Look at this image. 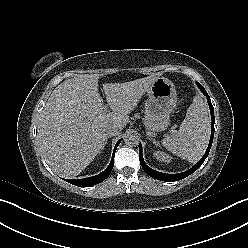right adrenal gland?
Here are the masks:
<instances>
[{"instance_id":"obj_1","label":"right adrenal gland","mask_w":248,"mask_h":248,"mask_svg":"<svg viewBox=\"0 0 248 248\" xmlns=\"http://www.w3.org/2000/svg\"><path fill=\"white\" fill-rule=\"evenodd\" d=\"M109 138H110V136H108V137L106 138L105 142L103 143L102 150H104V148H105V146H106V144H107V140H108Z\"/></svg>"}]
</instances>
